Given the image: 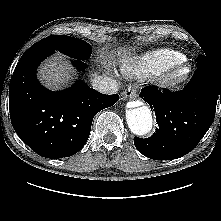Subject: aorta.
<instances>
[{"mask_svg":"<svg viewBox=\"0 0 221 221\" xmlns=\"http://www.w3.org/2000/svg\"><path fill=\"white\" fill-rule=\"evenodd\" d=\"M126 121L132 133L143 136L152 129L153 118L147 106H140L126 110Z\"/></svg>","mask_w":221,"mask_h":221,"instance_id":"obj_1","label":"aorta"}]
</instances>
